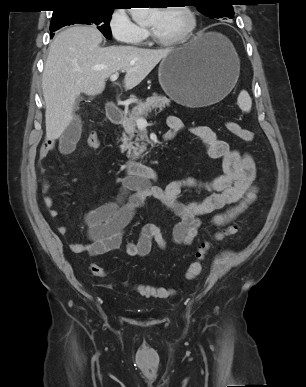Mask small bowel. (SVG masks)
I'll return each mask as SVG.
<instances>
[{
  "label": "small bowel",
  "mask_w": 306,
  "mask_h": 387,
  "mask_svg": "<svg viewBox=\"0 0 306 387\" xmlns=\"http://www.w3.org/2000/svg\"><path fill=\"white\" fill-rule=\"evenodd\" d=\"M167 125L169 128L167 135L171 138L184 129L183 122L176 116H169ZM189 130L204 144L210 158L222 160V173L209 180L192 176L176 179L164 187L153 186L142 178L124 179L115 201L85 213L84 223L87 227L88 242L71 244L72 252L98 256L119 249L123 243L126 227L149 198L158 200L165 209L178 218L172 230V238L179 245H189L196 238L202 224V216L227 208L213 217L215 225L224 226L255 201L257 169L253 157L232 149L227 141L219 138L208 126L197 125ZM79 137L80 125L75 120L60 137L59 152L63 155L71 154ZM54 149V141H45L40 147L39 157H46ZM187 190L202 191L208 195L200 201H183L181 195ZM43 195L50 215L56 218L58 212L54 209L47 180L43 184ZM57 229L62 235L67 233V227L64 225H59ZM153 245L163 251L167 249V241L161 229L150 223L141 228L136 240L126 243L124 251L129 257H146Z\"/></svg>",
  "instance_id": "1"
}]
</instances>
